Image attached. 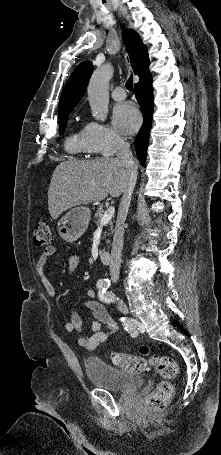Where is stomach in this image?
<instances>
[{
	"label": "stomach",
	"mask_w": 221,
	"mask_h": 455,
	"mask_svg": "<svg viewBox=\"0 0 221 455\" xmlns=\"http://www.w3.org/2000/svg\"><path fill=\"white\" fill-rule=\"evenodd\" d=\"M91 211L86 206H77L67 212L58 221L59 236L68 243L77 241L86 231Z\"/></svg>",
	"instance_id": "stomach-1"
}]
</instances>
